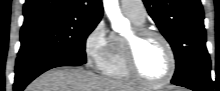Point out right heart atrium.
I'll use <instances>...</instances> for the list:
<instances>
[{"label": "right heart atrium", "instance_id": "d8ad5b80", "mask_svg": "<svg viewBox=\"0 0 220 91\" xmlns=\"http://www.w3.org/2000/svg\"><path fill=\"white\" fill-rule=\"evenodd\" d=\"M112 36L106 24L99 21L84 40V54L87 64L95 70H102L111 53Z\"/></svg>", "mask_w": 220, "mask_h": 91}]
</instances>
